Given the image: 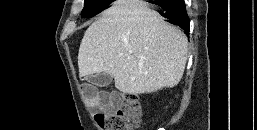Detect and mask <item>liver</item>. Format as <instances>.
Masks as SVG:
<instances>
[{"label": "liver", "mask_w": 257, "mask_h": 130, "mask_svg": "<svg viewBox=\"0 0 257 130\" xmlns=\"http://www.w3.org/2000/svg\"><path fill=\"white\" fill-rule=\"evenodd\" d=\"M187 53V37L158 12L140 0H119L84 33L79 75L107 73L123 93H152L179 83Z\"/></svg>", "instance_id": "1"}]
</instances>
